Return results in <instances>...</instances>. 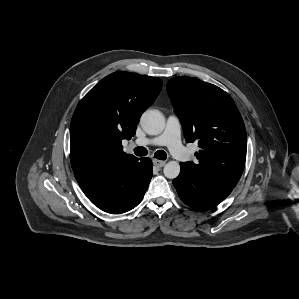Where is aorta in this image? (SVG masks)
Returning a JSON list of instances; mask_svg holds the SVG:
<instances>
[{
	"mask_svg": "<svg viewBox=\"0 0 299 299\" xmlns=\"http://www.w3.org/2000/svg\"><path fill=\"white\" fill-rule=\"evenodd\" d=\"M140 124L147 134L158 135L162 133L165 128V118L160 111L149 109L142 114ZM163 172L165 177L174 179L180 173V165L177 161H169L164 166Z\"/></svg>",
	"mask_w": 299,
	"mask_h": 299,
	"instance_id": "762f6f07",
	"label": "aorta"
}]
</instances>
